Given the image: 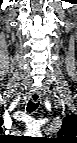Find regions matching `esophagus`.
<instances>
[{
	"label": "esophagus",
	"mask_w": 77,
	"mask_h": 143,
	"mask_svg": "<svg viewBox=\"0 0 77 143\" xmlns=\"http://www.w3.org/2000/svg\"><path fill=\"white\" fill-rule=\"evenodd\" d=\"M29 98L31 101L37 103L41 99V95L39 93H30Z\"/></svg>",
	"instance_id": "1"
}]
</instances>
